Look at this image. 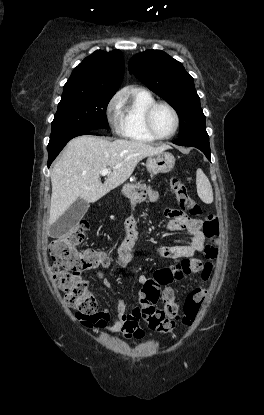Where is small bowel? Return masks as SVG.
Masks as SVG:
<instances>
[{
	"instance_id": "obj_1",
	"label": "small bowel",
	"mask_w": 264,
	"mask_h": 415,
	"mask_svg": "<svg viewBox=\"0 0 264 415\" xmlns=\"http://www.w3.org/2000/svg\"><path fill=\"white\" fill-rule=\"evenodd\" d=\"M149 198L153 201L158 200V196L154 192H149ZM164 215L170 220L167 223V228L170 231H184L190 235V241L187 244L176 246H162L155 245L153 249L163 257L170 259L173 263H178L184 259L193 257L195 254L204 249L205 236L203 232L202 221L184 215L182 212L167 207L164 210ZM137 229L136 219L130 218L127 221V234L125 239L117 248L115 264L119 268H126L139 253L140 248L135 244V235ZM102 277V273H98ZM151 279L148 275H141L139 283L144 284ZM107 287L110 284L107 283ZM166 291L172 290L166 288ZM117 317L112 324L106 323L110 320V315L106 311L100 312L96 317V325L100 329H105L110 333H121L126 338H140L145 334L140 324V308H136L131 313L127 312V305L124 301H117Z\"/></svg>"
}]
</instances>
